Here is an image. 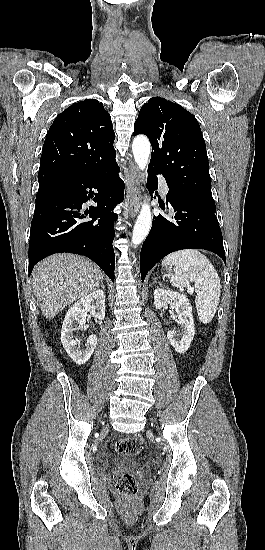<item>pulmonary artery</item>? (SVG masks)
Masks as SVG:
<instances>
[{
    "label": "pulmonary artery",
    "mask_w": 265,
    "mask_h": 550,
    "mask_svg": "<svg viewBox=\"0 0 265 550\" xmlns=\"http://www.w3.org/2000/svg\"><path fill=\"white\" fill-rule=\"evenodd\" d=\"M159 183H160V186H161V192H162L163 196H167L168 186H167L165 178L162 175L159 176Z\"/></svg>",
    "instance_id": "e3ab8cb5"
}]
</instances>
